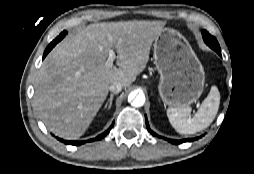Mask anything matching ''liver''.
I'll return each mask as SVG.
<instances>
[{"mask_svg": "<svg viewBox=\"0 0 254 174\" xmlns=\"http://www.w3.org/2000/svg\"><path fill=\"white\" fill-rule=\"evenodd\" d=\"M165 21L93 23L61 41L45 58L35 84L34 107L49 131L75 140L104 103L109 86L129 87L147 65ZM117 66L106 67L109 50Z\"/></svg>", "mask_w": 254, "mask_h": 174, "instance_id": "1", "label": "liver"}]
</instances>
